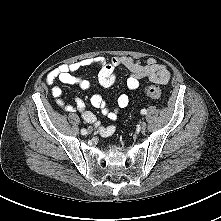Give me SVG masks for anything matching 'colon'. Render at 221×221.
<instances>
[{
  "label": "colon",
  "instance_id": "colon-1",
  "mask_svg": "<svg viewBox=\"0 0 221 221\" xmlns=\"http://www.w3.org/2000/svg\"><path fill=\"white\" fill-rule=\"evenodd\" d=\"M144 92L147 97L152 99H159L162 96V89L156 85H148L145 87Z\"/></svg>",
  "mask_w": 221,
  "mask_h": 221
}]
</instances>
